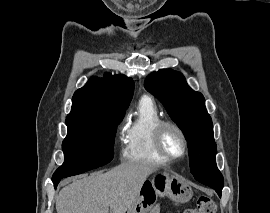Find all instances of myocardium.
<instances>
[{
  "mask_svg": "<svg viewBox=\"0 0 270 213\" xmlns=\"http://www.w3.org/2000/svg\"><path fill=\"white\" fill-rule=\"evenodd\" d=\"M168 129L175 130L182 139L183 151L179 156H173L169 154L165 149L164 134L166 130ZM153 139H154V146H155L156 151L167 161H170V162L178 161L180 159L185 158L188 154L189 144H188L187 136L184 130L177 123L173 121L162 120L161 122H159L155 128Z\"/></svg>",
  "mask_w": 270,
  "mask_h": 213,
  "instance_id": "obj_1",
  "label": "myocardium"
}]
</instances>
